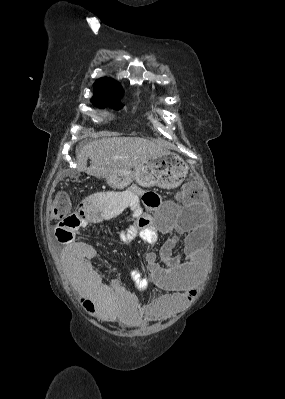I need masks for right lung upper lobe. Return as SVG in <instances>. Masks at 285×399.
Here are the masks:
<instances>
[{"mask_svg":"<svg viewBox=\"0 0 285 399\" xmlns=\"http://www.w3.org/2000/svg\"><path fill=\"white\" fill-rule=\"evenodd\" d=\"M123 90L111 79H100L94 83V96L91 100L107 101L120 99Z\"/></svg>","mask_w":285,"mask_h":399,"instance_id":"cb5924a9","label":"right lung upper lobe"}]
</instances>
